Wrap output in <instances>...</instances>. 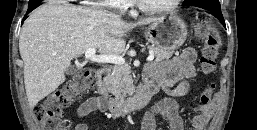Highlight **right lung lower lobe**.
I'll list each match as a JSON object with an SVG mask.
<instances>
[{
  "label": "right lung lower lobe",
  "mask_w": 257,
  "mask_h": 130,
  "mask_svg": "<svg viewBox=\"0 0 257 130\" xmlns=\"http://www.w3.org/2000/svg\"><path fill=\"white\" fill-rule=\"evenodd\" d=\"M36 3H38V5H37V6H35V7L28 6L27 14H28L29 12H31L33 9H35L36 7H38V6L40 5V2H36ZM27 14H26V15H27ZM26 15L24 16V19H23V20H25V19H26Z\"/></svg>",
  "instance_id": "right-lung-lower-lobe-1"
}]
</instances>
